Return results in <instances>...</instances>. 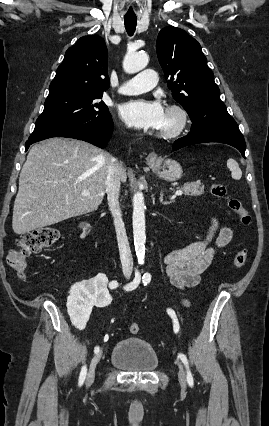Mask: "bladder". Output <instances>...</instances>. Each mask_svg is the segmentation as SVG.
Returning <instances> with one entry per match:
<instances>
[{
	"mask_svg": "<svg viewBox=\"0 0 269 426\" xmlns=\"http://www.w3.org/2000/svg\"><path fill=\"white\" fill-rule=\"evenodd\" d=\"M110 362L124 372L150 373L158 368L159 358L147 341L130 337L115 344Z\"/></svg>",
	"mask_w": 269,
	"mask_h": 426,
	"instance_id": "obj_1",
	"label": "bladder"
}]
</instances>
